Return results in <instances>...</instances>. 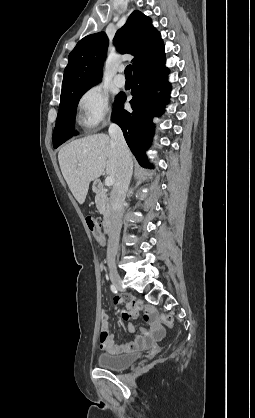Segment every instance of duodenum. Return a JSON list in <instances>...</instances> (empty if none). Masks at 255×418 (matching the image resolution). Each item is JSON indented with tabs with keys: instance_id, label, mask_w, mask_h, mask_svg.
I'll use <instances>...</instances> for the list:
<instances>
[{
	"instance_id": "1",
	"label": "duodenum",
	"mask_w": 255,
	"mask_h": 418,
	"mask_svg": "<svg viewBox=\"0 0 255 418\" xmlns=\"http://www.w3.org/2000/svg\"><path fill=\"white\" fill-rule=\"evenodd\" d=\"M93 191L99 194L104 193L105 189L103 187V184L100 181H95L93 183ZM114 225H115V211L109 210L103 220V224H102L103 231L106 234H109L113 230Z\"/></svg>"
}]
</instances>
